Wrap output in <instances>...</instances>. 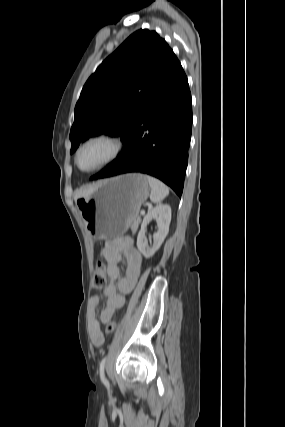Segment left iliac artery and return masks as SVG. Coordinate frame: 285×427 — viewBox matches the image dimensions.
Returning <instances> with one entry per match:
<instances>
[{
  "label": "left iliac artery",
  "instance_id": "44dca946",
  "mask_svg": "<svg viewBox=\"0 0 285 427\" xmlns=\"http://www.w3.org/2000/svg\"><path fill=\"white\" fill-rule=\"evenodd\" d=\"M105 363H106V357H104L100 363V379L104 384H107L108 381H107V379L105 377V373H104Z\"/></svg>",
  "mask_w": 285,
  "mask_h": 427
}]
</instances>
